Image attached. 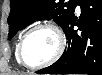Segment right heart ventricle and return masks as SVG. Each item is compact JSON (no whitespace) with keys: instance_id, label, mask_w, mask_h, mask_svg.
<instances>
[{"instance_id":"1","label":"right heart ventricle","mask_w":102,"mask_h":75,"mask_svg":"<svg viewBox=\"0 0 102 75\" xmlns=\"http://www.w3.org/2000/svg\"><path fill=\"white\" fill-rule=\"evenodd\" d=\"M20 38H21V36H19V38L17 39L16 44H15V56H16V59L18 62H20L19 57H18V44H19Z\"/></svg>"}]
</instances>
